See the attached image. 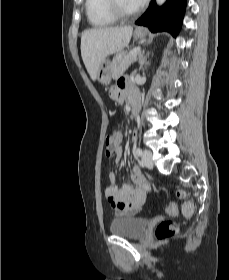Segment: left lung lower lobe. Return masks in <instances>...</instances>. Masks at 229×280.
<instances>
[{
	"mask_svg": "<svg viewBox=\"0 0 229 280\" xmlns=\"http://www.w3.org/2000/svg\"><path fill=\"white\" fill-rule=\"evenodd\" d=\"M185 8L186 0H167L162 7H157L155 1H152L136 24L146 26L152 32L168 31L176 36L182 24Z\"/></svg>",
	"mask_w": 229,
	"mask_h": 280,
	"instance_id": "left-lung-lower-lobe-1",
	"label": "left lung lower lobe"
}]
</instances>
